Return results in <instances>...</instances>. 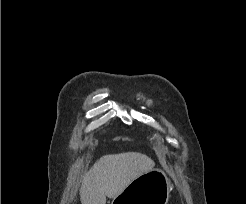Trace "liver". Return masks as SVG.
I'll return each instance as SVG.
<instances>
[{
    "instance_id": "6515ba94",
    "label": "liver",
    "mask_w": 246,
    "mask_h": 204,
    "mask_svg": "<svg viewBox=\"0 0 246 204\" xmlns=\"http://www.w3.org/2000/svg\"><path fill=\"white\" fill-rule=\"evenodd\" d=\"M155 162L138 152L109 154L97 160L84 175L80 188L81 204H106L134 179L151 171Z\"/></svg>"
}]
</instances>
